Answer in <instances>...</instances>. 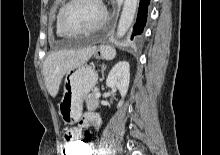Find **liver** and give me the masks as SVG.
Returning <instances> with one entry per match:
<instances>
[{"label":"liver","instance_id":"liver-1","mask_svg":"<svg viewBox=\"0 0 220 155\" xmlns=\"http://www.w3.org/2000/svg\"><path fill=\"white\" fill-rule=\"evenodd\" d=\"M95 47L79 50H59L50 53L43 64V75L49 94L55 98L65 74L86 63Z\"/></svg>","mask_w":220,"mask_h":155}]
</instances>
